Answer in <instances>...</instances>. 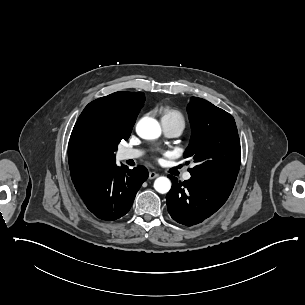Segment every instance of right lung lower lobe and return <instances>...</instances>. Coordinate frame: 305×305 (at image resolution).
Wrapping results in <instances>:
<instances>
[{
	"label": "right lung lower lobe",
	"mask_w": 305,
	"mask_h": 305,
	"mask_svg": "<svg viewBox=\"0 0 305 305\" xmlns=\"http://www.w3.org/2000/svg\"><path fill=\"white\" fill-rule=\"evenodd\" d=\"M148 178L143 166L132 170L109 165L74 186L87 208L99 219L116 220L131 208L137 191Z\"/></svg>",
	"instance_id": "98d812e1"
}]
</instances>
